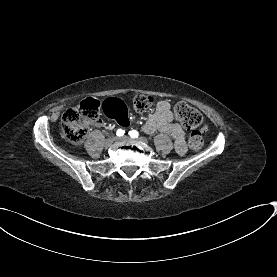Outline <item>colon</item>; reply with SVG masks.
<instances>
[{
    "label": "colon",
    "mask_w": 277,
    "mask_h": 277,
    "mask_svg": "<svg viewBox=\"0 0 277 277\" xmlns=\"http://www.w3.org/2000/svg\"><path fill=\"white\" fill-rule=\"evenodd\" d=\"M153 104L154 99L150 95L137 94L133 97V107L137 111L151 108ZM99 109V103L93 95H90L80 108L68 109L61 117L64 137L74 143L82 142L86 137L88 125L99 118ZM174 109L177 120L190 130L188 146L193 151H199L204 146L203 133L206 130L202 113L185 102L176 103Z\"/></svg>",
    "instance_id": "obj_1"
}]
</instances>
